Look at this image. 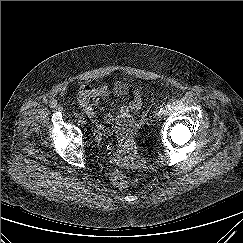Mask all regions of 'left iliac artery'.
<instances>
[{"instance_id": "1", "label": "left iliac artery", "mask_w": 243, "mask_h": 243, "mask_svg": "<svg viewBox=\"0 0 243 243\" xmlns=\"http://www.w3.org/2000/svg\"><path fill=\"white\" fill-rule=\"evenodd\" d=\"M159 113L162 115L164 113V108H160Z\"/></svg>"}]
</instances>
